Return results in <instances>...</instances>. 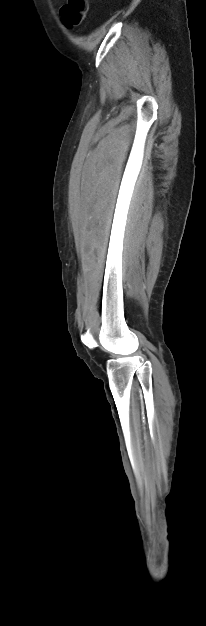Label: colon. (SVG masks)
I'll list each match as a JSON object with an SVG mask.
<instances>
[{"label": "colon", "instance_id": "5ec220e1", "mask_svg": "<svg viewBox=\"0 0 206 626\" xmlns=\"http://www.w3.org/2000/svg\"><path fill=\"white\" fill-rule=\"evenodd\" d=\"M88 10V0H68L61 8L63 19L70 25H78Z\"/></svg>", "mask_w": 206, "mask_h": 626}]
</instances>
